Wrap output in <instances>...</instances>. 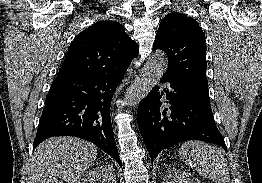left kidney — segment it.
I'll return each mask as SVG.
<instances>
[{"instance_id":"5707ae66","label":"left kidney","mask_w":262,"mask_h":183,"mask_svg":"<svg viewBox=\"0 0 262 183\" xmlns=\"http://www.w3.org/2000/svg\"><path fill=\"white\" fill-rule=\"evenodd\" d=\"M164 183H203L191 174L179 170L173 169L168 172L165 177Z\"/></svg>"}]
</instances>
